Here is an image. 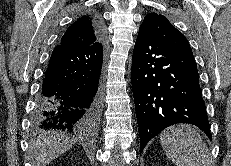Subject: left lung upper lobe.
<instances>
[{
	"label": "left lung upper lobe",
	"instance_id": "obj_1",
	"mask_svg": "<svg viewBox=\"0 0 231 166\" xmlns=\"http://www.w3.org/2000/svg\"><path fill=\"white\" fill-rule=\"evenodd\" d=\"M139 29L147 32L161 43L191 50L186 37L172 26L163 15L156 13L147 14Z\"/></svg>",
	"mask_w": 231,
	"mask_h": 166
}]
</instances>
